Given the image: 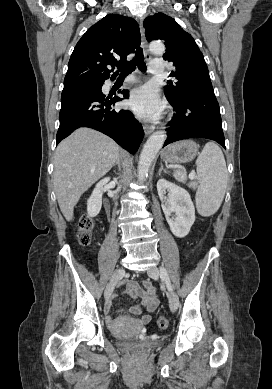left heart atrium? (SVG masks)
Listing matches in <instances>:
<instances>
[{
	"label": "left heart atrium",
	"mask_w": 272,
	"mask_h": 389,
	"mask_svg": "<svg viewBox=\"0 0 272 389\" xmlns=\"http://www.w3.org/2000/svg\"><path fill=\"white\" fill-rule=\"evenodd\" d=\"M128 104L136 114L144 118H156L163 107L157 90L150 85L135 89Z\"/></svg>",
	"instance_id": "39dd6f15"
}]
</instances>
